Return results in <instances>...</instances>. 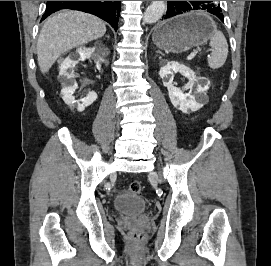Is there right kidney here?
Masks as SVG:
<instances>
[{
    "mask_svg": "<svg viewBox=\"0 0 271 266\" xmlns=\"http://www.w3.org/2000/svg\"><path fill=\"white\" fill-rule=\"evenodd\" d=\"M103 55L104 53L100 48L80 47L73 54L65 58L60 65L59 79L62 83V99L73 109L76 107L79 112L84 111L86 107L90 106L97 99V94L95 92H90L85 98L75 100V97L73 96L77 89L75 74L73 71L70 73L67 71L73 69L79 61H84L86 58H93L99 68L100 62L103 61Z\"/></svg>",
    "mask_w": 271,
    "mask_h": 266,
    "instance_id": "1",
    "label": "right kidney"
}]
</instances>
